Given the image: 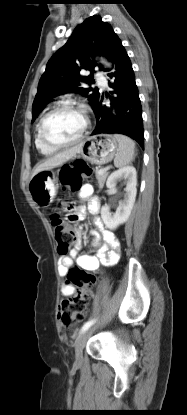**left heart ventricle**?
I'll return each mask as SVG.
<instances>
[{
    "label": "left heart ventricle",
    "instance_id": "left-heart-ventricle-1",
    "mask_svg": "<svg viewBox=\"0 0 187 415\" xmlns=\"http://www.w3.org/2000/svg\"><path fill=\"white\" fill-rule=\"evenodd\" d=\"M85 124L83 114L73 108H61L53 113L45 124V135L54 142L75 139Z\"/></svg>",
    "mask_w": 187,
    "mask_h": 415
}]
</instances>
